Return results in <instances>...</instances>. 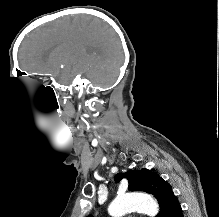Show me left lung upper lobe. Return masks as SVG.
Wrapping results in <instances>:
<instances>
[{
    "mask_svg": "<svg viewBox=\"0 0 219 217\" xmlns=\"http://www.w3.org/2000/svg\"><path fill=\"white\" fill-rule=\"evenodd\" d=\"M127 178L129 182V191H144L152 194L157 198L160 212L156 217H168L174 203L178 202L171 186L163 180L157 173L146 168L138 170H130L126 173H118L115 176L116 181ZM88 217H92L91 215Z\"/></svg>",
    "mask_w": 219,
    "mask_h": 217,
    "instance_id": "1",
    "label": "left lung upper lobe"
}]
</instances>
